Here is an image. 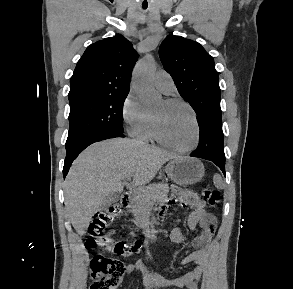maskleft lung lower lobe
Instances as JSON below:
<instances>
[{"label":"left lung lower lobe","mask_w":293,"mask_h":289,"mask_svg":"<svg viewBox=\"0 0 293 289\" xmlns=\"http://www.w3.org/2000/svg\"><path fill=\"white\" fill-rule=\"evenodd\" d=\"M198 124L200 129L199 145L190 156L212 161L225 174L222 122L210 120Z\"/></svg>","instance_id":"left-lung-lower-lobe-1"}]
</instances>
